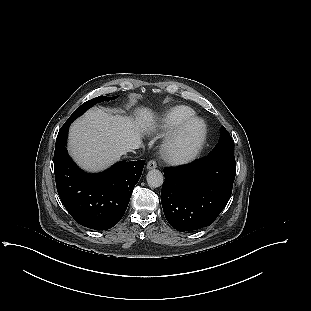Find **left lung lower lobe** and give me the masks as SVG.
<instances>
[{"label": "left lung lower lobe", "instance_id": "1", "mask_svg": "<svg viewBox=\"0 0 311 311\" xmlns=\"http://www.w3.org/2000/svg\"><path fill=\"white\" fill-rule=\"evenodd\" d=\"M161 202L167 221L185 232L207 227L228 203L235 158L207 155L178 168H165Z\"/></svg>", "mask_w": 311, "mask_h": 311}]
</instances>
